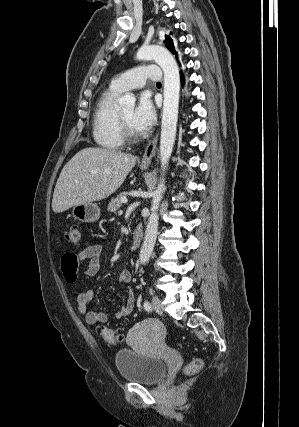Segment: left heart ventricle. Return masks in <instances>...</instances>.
<instances>
[{"instance_id": "obj_1", "label": "left heart ventricle", "mask_w": 299, "mask_h": 427, "mask_svg": "<svg viewBox=\"0 0 299 427\" xmlns=\"http://www.w3.org/2000/svg\"><path fill=\"white\" fill-rule=\"evenodd\" d=\"M123 115L124 119L128 122V124L134 129L132 125V115H133V108H126L120 111ZM135 130V129H134Z\"/></svg>"}]
</instances>
